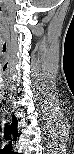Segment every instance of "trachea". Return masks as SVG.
<instances>
[{"mask_svg":"<svg viewBox=\"0 0 74 154\" xmlns=\"http://www.w3.org/2000/svg\"><path fill=\"white\" fill-rule=\"evenodd\" d=\"M5 134L6 136H9L11 134L10 127L8 126V124L5 126Z\"/></svg>","mask_w":74,"mask_h":154,"instance_id":"3493384b","label":"trachea"}]
</instances>
